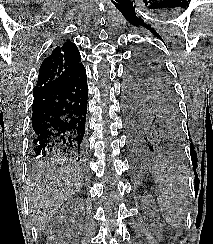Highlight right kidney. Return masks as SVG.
Listing matches in <instances>:
<instances>
[{
    "label": "right kidney",
    "instance_id": "obj_1",
    "mask_svg": "<svg viewBox=\"0 0 213 244\" xmlns=\"http://www.w3.org/2000/svg\"><path fill=\"white\" fill-rule=\"evenodd\" d=\"M67 209H83L84 208V202L83 199L80 197H76L71 199L66 204Z\"/></svg>",
    "mask_w": 213,
    "mask_h": 244
}]
</instances>
